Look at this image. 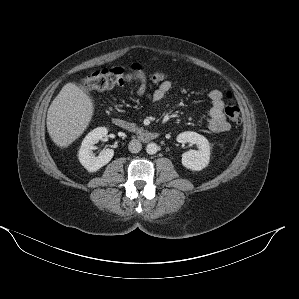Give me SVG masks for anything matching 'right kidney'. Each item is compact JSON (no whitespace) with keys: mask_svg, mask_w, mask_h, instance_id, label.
<instances>
[{"mask_svg":"<svg viewBox=\"0 0 299 299\" xmlns=\"http://www.w3.org/2000/svg\"><path fill=\"white\" fill-rule=\"evenodd\" d=\"M108 134V129L106 127H98L92 130L82 141L79 150V161L80 163L89 171L96 172L101 167L110 162L114 156L113 149H103L98 156H95L93 150L96 149L95 144L99 140H103Z\"/></svg>","mask_w":299,"mask_h":299,"instance_id":"1","label":"right kidney"}]
</instances>
